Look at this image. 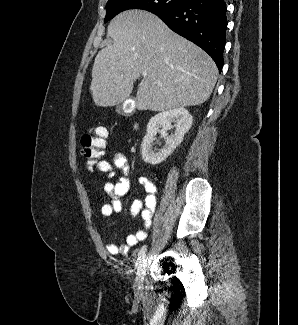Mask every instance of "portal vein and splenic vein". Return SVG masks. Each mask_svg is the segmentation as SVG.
<instances>
[{
	"label": "portal vein and splenic vein",
	"instance_id": "1",
	"mask_svg": "<svg viewBox=\"0 0 298 325\" xmlns=\"http://www.w3.org/2000/svg\"><path fill=\"white\" fill-rule=\"evenodd\" d=\"M142 76H146V72H142ZM155 82H157V84H162V82H160V80H155Z\"/></svg>",
	"mask_w": 298,
	"mask_h": 325
}]
</instances>
